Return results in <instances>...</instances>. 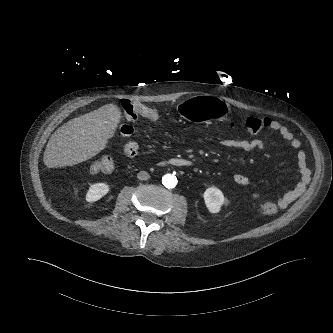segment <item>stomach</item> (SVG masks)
I'll list each match as a JSON object with an SVG mask.
<instances>
[{"label": "stomach", "mask_w": 333, "mask_h": 333, "mask_svg": "<svg viewBox=\"0 0 333 333\" xmlns=\"http://www.w3.org/2000/svg\"><path fill=\"white\" fill-rule=\"evenodd\" d=\"M180 115L191 122H205L228 111V105L210 95L193 96L177 106Z\"/></svg>", "instance_id": "stomach-1"}]
</instances>
